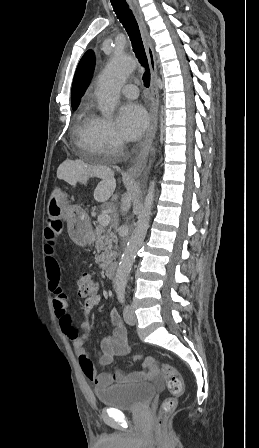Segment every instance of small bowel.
Segmentation results:
<instances>
[{
	"label": "small bowel",
	"instance_id": "obj_1",
	"mask_svg": "<svg viewBox=\"0 0 259 448\" xmlns=\"http://www.w3.org/2000/svg\"><path fill=\"white\" fill-rule=\"evenodd\" d=\"M62 232L63 225L61 221L56 219L47 221L44 232L45 268L49 279L50 291L53 294V305L56 317L62 331L72 342L84 375L98 388H104L113 383L142 382L157 378L158 369L154 360H145L144 369L142 371L126 375L119 368L111 373L98 372L92 361L89 359L85 349V342L92 332L89 316L93 308L100 303L101 296L95 294L85 300L83 305L84 319L81 324V332H79L73 326L68 311L67 296L63 290L60 264L57 258V244ZM110 319L114 325V330L110 335L105 336L101 340L100 348L102 353L99 359L101 366L111 364L113 356L115 355H127L130 352L127 343L126 329L119 314L115 310L110 312Z\"/></svg>",
	"mask_w": 259,
	"mask_h": 448
}]
</instances>
